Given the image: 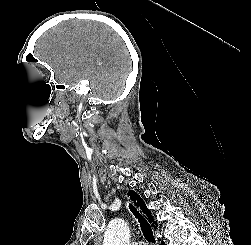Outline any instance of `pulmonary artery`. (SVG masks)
<instances>
[{"instance_id": "pulmonary-artery-1", "label": "pulmonary artery", "mask_w": 251, "mask_h": 245, "mask_svg": "<svg viewBox=\"0 0 251 245\" xmlns=\"http://www.w3.org/2000/svg\"><path fill=\"white\" fill-rule=\"evenodd\" d=\"M133 245H147V243L143 241H139V242H134Z\"/></svg>"}]
</instances>
